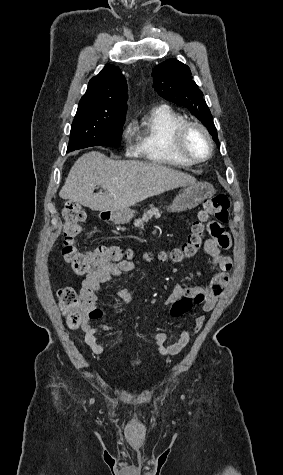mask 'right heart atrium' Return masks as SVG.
Returning <instances> with one entry per match:
<instances>
[{
	"mask_svg": "<svg viewBox=\"0 0 283 475\" xmlns=\"http://www.w3.org/2000/svg\"><path fill=\"white\" fill-rule=\"evenodd\" d=\"M123 136V150L127 157H133L138 153V146L133 140L132 125L128 122L124 123L121 128Z\"/></svg>",
	"mask_w": 283,
	"mask_h": 475,
	"instance_id": "d8ad5b80",
	"label": "right heart atrium"
}]
</instances>
